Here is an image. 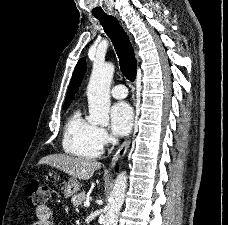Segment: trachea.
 <instances>
[{
	"label": "trachea",
	"mask_w": 228,
	"mask_h": 225,
	"mask_svg": "<svg viewBox=\"0 0 228 225\" xmlns=\"http://www.w3.org/2000/svg\"><path fill=\"white\" fill-rule=\"evenodd\" d=\"M108 37L113 42L119 58L121 72L133 82L136 78L137 62L129 37L115 17L99 19Z\"/></svg>",
	"instance_id": "obj_1"
}]
</instances>
